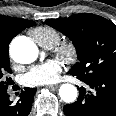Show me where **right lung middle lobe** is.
Returning a JSON list of instances; mask_svg holds the SVG:
<instances>
[{"mask_svg":"<svg viewBox=\"0 0 116 116\" xmlns=\"http://www.w3.org/2000/svg\"><path fill=\"white\" fill-rule=\"evenodd\" d=\"M35 25V23H34ZM12 73L10 69V61L8 49H0V95L7 93L8 85L10 84V78H7V74Z\"/></svg>","mask_w":116,"mask_h":116,"instance_id":"obj_1","label":"right lung middle lobe"}]
</instances>
